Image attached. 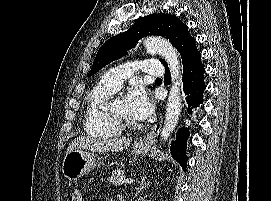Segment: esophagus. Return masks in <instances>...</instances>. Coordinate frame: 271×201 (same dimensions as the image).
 <instances>
[{
    "instance_id": "1",
    "label": "esophagus",
    "mask_w": 271,
    "mask_h": 201,
    "mask_svg": "<svg viewBox=\"0 0 271 201\" xmlns=\"http://www.w3.org/2000/svg\"><path fill=\"white\" fill-rule=\"evenodd\" d=\"M162 127V116L160 115L158 121L153 126L150 132H148L144 137L140 138L138 141H136V145L139 146H147L149 145L159 134Z\"/></svg>"
}]
</instances>
